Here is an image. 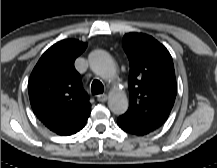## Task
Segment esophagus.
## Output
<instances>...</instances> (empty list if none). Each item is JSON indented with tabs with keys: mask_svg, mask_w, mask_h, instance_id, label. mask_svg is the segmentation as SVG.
Instances as JSON below:
<instances>
[{
	"mask_svg": "<svg viewBox=\"0 0 217 168\" xmlns=\"http://www.w3.org/2000/svg\"><path fill=\"white\" fill-rule=\"evenodd\" d=\"M107 95L106 94H99V95H97V100L99 101V102H105V101H107Z\"/></svg>",
	"mask_w": 217,
	"mask_h": 168,
	"instance_id": "1",
	"label": "esophagus"
}]
</instances>
